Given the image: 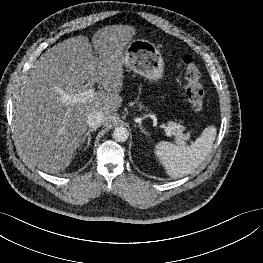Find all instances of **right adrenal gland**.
Instances as JSON below:
<instances>
[{
	"label": "right adrenal gland",
	"mask_w": 263,
	"mask_h": 263,
	"mask_svg": "<svg viewBox=\"0 0 263 263\" xmlns=\"http://www.w3.org/2000/svg\"><path fill=\"white\" fill-rule=\"evenodd\" d=\"M93 131H96V129H95V128L89 129V130L87 131V133L85 134V136L83 137L82 143H83V144H84V143L86 144L84 150H86V149L89 147V145H90L91 132H93Z\"/></svg>",
	"instance_id": "right-adrenal-gland-1"
}]
</instances>
